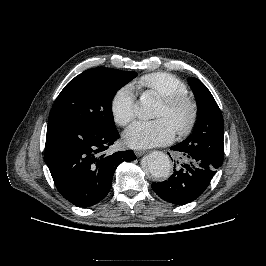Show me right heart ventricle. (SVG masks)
Returning <instances> with one entry per match:
<instances>
[{"instance_id":"1","label":"right heart ventricle","mask_w":266,"mask_h":266,"mask_svg":"<svg viewBox=\"0 0 266 266\" xmlns=\"http://www.w3.org/2000/svg\"><path fill=\"white\" fill-rule=\"evenodd\" d=\"M138 88H144L159 97L188 93L186 84L177 76L168 72H154L141 76L136 81Z\"/></svg>"}]
</instances>
